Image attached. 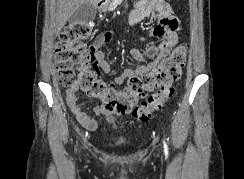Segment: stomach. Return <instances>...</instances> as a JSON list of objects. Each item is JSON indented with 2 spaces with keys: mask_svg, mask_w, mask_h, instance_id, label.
Returning <instances> with one entry per match:
<instances>
[{
  "mask_svg": "<svg viewBox=\"0 0 244 179\" xmlns=\"http://www.w3.org/2000/svg\"><path fill=\"white\" fill-rule=\"evenodd\" d=\"M110 2L111 0H106V4L100 8L101 12H111V10H114V8H111Z\"/></svg>",
  "mask_w": 244,
  "mask_h": 179,
  "instance_id": "0dacf381",
  "label": "stomach"
}]
</instances>
